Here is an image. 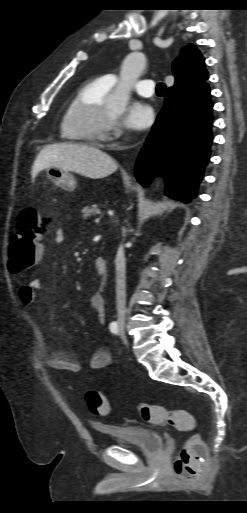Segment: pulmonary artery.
I'll use <instances>...</instances> for the list:
<instances>
[{"instance_id": "pulmonary-artery-1", "label": "pulmonary artery", "mask_w": 247, "mask_h": 513, "mask_svg": "<svg viewBox=\"0 0 247 513\" xmlns=\"http://www.w3.org/2000/svg\"><path fill=\"white\" fill-rule=\"evenodd\" d=\"M100 79L108 86H113L116 83L117 77L115 74H106L100 77ZM155 83L152 80H140L135 83V91L144 97H150L154 93Z\"/></svg>"}]
</instances>
